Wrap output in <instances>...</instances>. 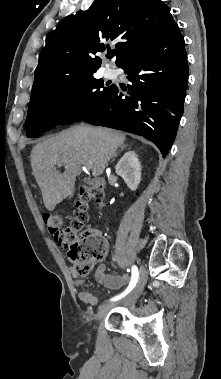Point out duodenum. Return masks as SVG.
I'll return each instance as SVG.
<instances>
[{
    "label": "duodenum",
    "instance_id": "410a0bca",
    "mask_svg": "<svg viewBox=\"0 0 221 379\" xmlns=\"http://www.w3.org/2000/svg\"><path fill=\"white\" fill-rule=\"evenodd\" d=\"M93 185L100 186L101 185V181L100 180H94Z\"/></svg>",
    "mask_w": 221,
    "mask_h": 379
}]
</instances>
